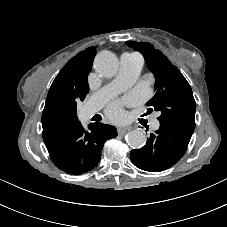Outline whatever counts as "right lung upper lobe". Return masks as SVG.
Segmentation results:
<instances>
[{
    "label": "right lung upper lobe",
    "instance_id": "1",
    "mask_svg": "<svg viewBox=\"0 0 227 227\" xmlns=\"http://www.w3.org/2000/svg\"><path fill=\"white\" fill-rule=\"evenodd\" d=\"M95 47L81 51L61 69L49 89L45 107L59 97L85 98L89 92L87 78L96 54ZM42 126L43 140L47 142L54 136L48 134L43 123Z\"/></svg>",
    "mask_w": 227,
    "mask_h": 227
}]
</instances>
